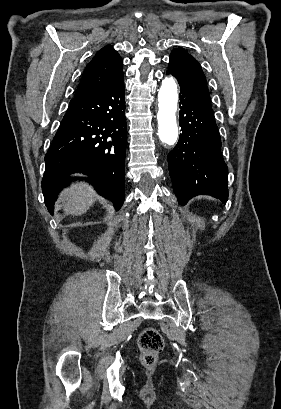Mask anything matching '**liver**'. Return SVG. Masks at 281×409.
<instances>
[{"label": "liver", "instance_id": "liver-1", "mask_svg": "<svg viewBox=\"0 0 281 409\" xmlns=\"http://www.w3.org/2000/svg\"><path fill=\"white\" fill-rule=\"evenodd\" d=\"M61 198L68 215L81 217L93 207L96 194L88 182H72L71 186L64 188Z\"/></svg>", "mask_w": 281, "mask_h": 409}]
</instances>
